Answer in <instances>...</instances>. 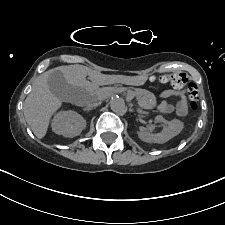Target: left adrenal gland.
Here are the masks:
<instances>
[{"label": "left adrenal gland", "instance_id": "a2214340", "mask_svg": "<svg viewBox=\"0 0 225 225\" xmlns=\"http://www.w3.org/2000/svg\"><path fill=\"white\" fill-rule=\"evenodd\" d=\"M137 112L139 113V114H144L145 112H143L142 110H140V109H137Z\"/></svg>", "mask_w": 225, "mask_h": 225}]
</instances>
